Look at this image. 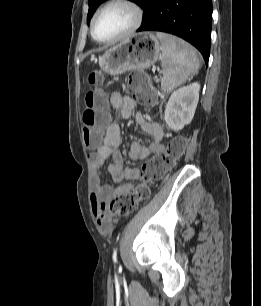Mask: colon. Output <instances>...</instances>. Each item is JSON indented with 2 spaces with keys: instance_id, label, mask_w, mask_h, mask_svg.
Returning <instances> with one entry per match:
<instances>
[{
  "instance_id": "obj_1",
  "label": "colon",
  "mask_w": 261,
  "mask_h": 306,
  "mask_svg": "<svg viewBox=\"0 0 261 306\" xmlns=\"http://www.w3.org/2000/svg\"><path fill=\"white\" fill-rule=\"evenodd\" d=\"M91 89L85 96L86 108L83 113L84 138L88 148L97 147L103 136L106 123V114L103 110L105 94L103 84L104 76L99 71L88 74ZM128 89L132 92L134 100L139 104H150L154 101L155 92L148 78L141 72H133L128 76ZM186 139L182 136L173 137L164 149L158 151L142 166L138 176L140 182L133 191L118 195L110 204L109 213L113 221H117L131 214L139 203L150 196V185L160 181L165 173L183 155Z\"/></svg>"
}]
</instances>
